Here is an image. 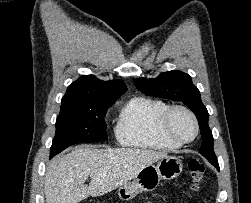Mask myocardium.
I'll list each match as a JSON object with an SVG mask.
<instances>
[{
	"label": "myocardium",
	"mask_w": 251,
	"mask_h": 203,
	"mask_svg": "<svg viewBox=\"0 0 251 203\" xmlns=\"http://www.w3.org/2000/svg\"><path fill=\"white\" fill-rule=\"evenodd\" d=\"M176 111H183L185 112L192 120L195 126V132L193 134V136L189 139H182L180 137H178L171 129V120H172V116ZM160 131L162 133V135L164 137H166L167 139L178 143L180 145H184V144H188L193 142L198 134H199V130H200V126H199V121L197 116L195 115V113L190 110L189 108L183 106V105H172L169 106L168 109L163 113L161 119H160Z\"/></svg>",
	"instance_id": "obj_1"
}]
</instances>
